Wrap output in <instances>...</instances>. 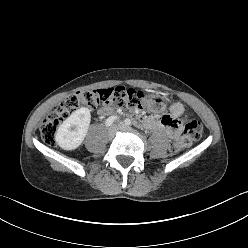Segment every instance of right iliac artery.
<instances>
[{
	"label": "right iliac artery",
	"mask_w": 248,
	"mask_h": 248,
	"mask_svg": "<svg viewBox=\"0 0 248 248\" xmlns=\"http://www.w3.org/2000/svg\"><path fill=\"white\" fill-rule=\"evenodd\" d=\"M116 120L115 116L109 117L106 121H105V125L107 127L111 126L113 124V122Z\"/></svg>",
	"instance_id": "obj_1"
}]
</instances>
